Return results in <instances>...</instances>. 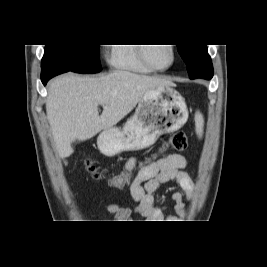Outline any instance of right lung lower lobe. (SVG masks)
<instances>
[{
    "label": "right lung lower lobe",
    "instance_id": "obj_1",
    "mask_svg": "<svg viewBox=\"0 0 267 267\" xmlns=\"http://www.w3.org/2000/svg\"><path fill=\"white\" fill-rule=\"evenodd\" d=\"M68 72L66 69L58 68V67H46L42 68L41 72V81L43 85H46L47 82L54 76H57L59 74Z\"/></svg>",
    "mask_w": 267,
    "mask_h": 267
}]
</instances>
